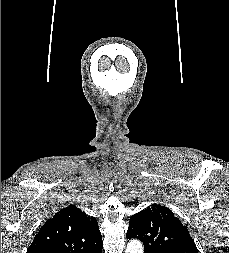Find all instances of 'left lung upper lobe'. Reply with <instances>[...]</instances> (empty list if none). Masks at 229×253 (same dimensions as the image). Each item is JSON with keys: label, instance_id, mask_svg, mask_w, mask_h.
<instances>
[{"label": "left lung upper lobe", "instance_id": "obj_1", "mask_svg": "<svg viewBox=\"0 0 229 253\" xmlns=\"http://www.w3.org/2000/svg\"><path fill=\"white\" fill-rule=\"evenodd\" d=\"M143 242L144 253H198L187 228L173 212L153 204L131 216L127 239Z\"/></svg>", "mask_w": 229, "mask_h": 253}]
</instances>
